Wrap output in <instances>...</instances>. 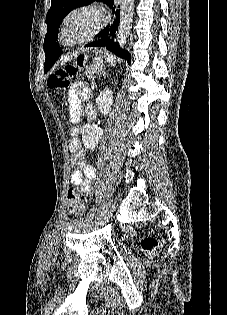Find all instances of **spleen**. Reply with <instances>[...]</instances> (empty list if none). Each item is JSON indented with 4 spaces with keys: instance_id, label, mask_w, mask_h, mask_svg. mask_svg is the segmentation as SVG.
Instances as JSON below:
<instances>
[{
    "instance_id": "spleen-1",
    "label": "spleen",
    "mask_w": 227,
    "mask_h": 315,
    "mask_svg": "<svg viewBox=\"0 0 227 315\" xmlns=\"http://www.w3.org/2000/svg\"><path fill=\"white\" fill-rule=\"evenodd\" d=\"M109 61L113 62V58L109 57L107 58Z\"/></svg>"
}]
</instances>
